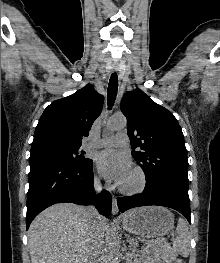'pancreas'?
Segmentation results:
<instances>
[{
    "label": "pancreas",
    "instance_id": "obj_1",
    "mask_svg": "<svg viewBox=\"0 0 220 263\" xmlns=\"http://www.w3.org/2000/svg\"><path fill=\"white\" fill-rule=\"evenodd\" d=\"M154 249L167 263H171V261L175 258V254L172 252L169 244L167 243L155 242Z\"/></svg>",
    "mask_w": 220,
    "mask_h": 263
}]
</instances>
